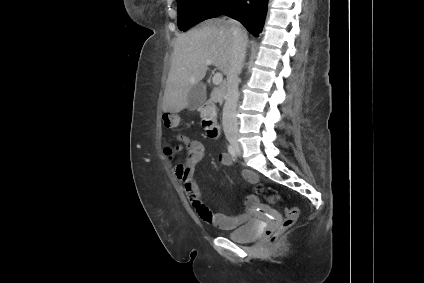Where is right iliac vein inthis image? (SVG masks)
<instances>
[{
    "label": "right iliac vein",
    "mask_w": 424,
    "mask_h": 283,
    "mask_svg": "<svg viewBox=\"0 0 424 283\" xmlns=\"http://www.w3.org/2000/svg\"><path fill=\"white\" fill-rule=\"evenodd\" d=\"M228 141L230 142V144L233 146V148L236 150L237 153L241 152V147L238 141V138L236 135H229L228 136Z\"/></svg>",
    "instance_id": "obj_1"
}]
</instances>
